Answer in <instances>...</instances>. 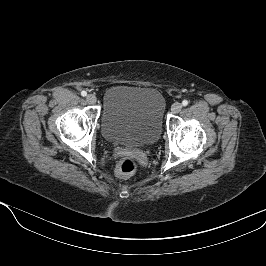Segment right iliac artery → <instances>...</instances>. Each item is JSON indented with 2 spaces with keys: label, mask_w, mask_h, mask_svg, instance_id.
Instances as JSON below:
<instances>
[{
  "label": "right iliac artery",
  "mask_w": 266,
  "mask_h": 266,
  "mask_svg": "<svg viewBox=\"0 0 266 266\" xmlns=\"http://www.w3.org/2000/svg\"><path fill=\"white\" fill-rule=\"evenodd\" d=\"M81 95H82L83 97H85V96L87 95V92H86V91H82V92H81Z\"/></svg>",
  "instance_id": "obj_1"
}]
</instances>
